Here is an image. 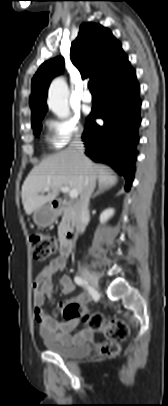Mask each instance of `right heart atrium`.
Listing matches in <instances>:
<instances>
[{"mask_svg":"<svg viewBox=\"0 0 168 406\" xmlns=\"http://www.w3.org/2000/svg\"><path fill=\"white\" fill-rule=\"evenodd\" d=\"M51 132V143L62 148L75 139H79L84 129L77 114H70L62 118H51L47 121Z\"/></svg>","mask_w":168,"mask_h":406,"instance_id":"right-heart-atrium-1","label":"right heart atrium"}]
</instances>
